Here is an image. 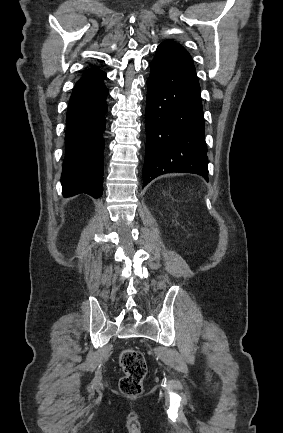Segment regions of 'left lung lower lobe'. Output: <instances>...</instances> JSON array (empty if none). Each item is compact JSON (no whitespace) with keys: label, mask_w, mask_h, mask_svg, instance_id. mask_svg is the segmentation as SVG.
<instances>
[{"label":"left lung lower lobe","mask_w":283,"mask_h":433,"mask_svg":"<svg viewBox=\"0 0 283 433\" xmlns=\"http://www.w3.org/2000/svg\"><path fill=\"white\" fill-rule=\"evenodd\" d=\"M150 68L143 186L173 172L208 180L201 89L191 56L176 43H161Z\"/></svg>","instance_id":"0a47b994"}]
</instances>
